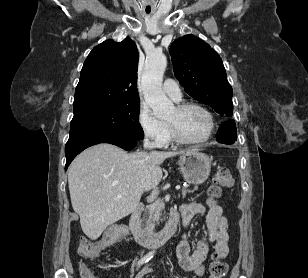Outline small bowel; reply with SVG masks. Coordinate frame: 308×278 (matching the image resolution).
I'll list each match as a JSON object with an SVG mask.
<instances>
[{"label": "small bowel", "instance_id": "obj_1", "mask_svg": "<svg viewBox=\"0 0 308 278\" xmlns=\"http://www.w3.org/2000/svg\"><path fill=\"white\" fill-rule=\"evenodd\" d=\"M181 215L184 227H188L195 215L204 217L206 231L197 241L195 249L191 252L187 234L176 248L179 265L186 271L193 272L195 276L201 277L204 273V261L208 254V244L215 243V250L223 258L228 254V222L223 215L221 206L212 199H207L206 206L199 202L182 204L174 211ZM152 274L150 265L144 266L135 278H148ZM95 278V277H94Z\"/></svg>", "mask_w": 308, "mask_h": 278}]
</instances>
